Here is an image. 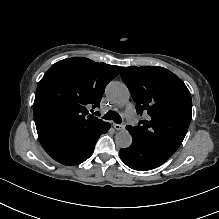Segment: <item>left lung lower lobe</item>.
Wrapping results in <instances>:
<instances>
[{"instance_id": "0a47b994", "label": "left lung lower lobe", "mask_w": 219, "mask_h": 219, "mask_svg": "<svg viewBox=\"0 0 219 219\" xmlns=\"http://www.w3.org/2000/svg\"><path fill=\"white\" fill-rule=\"evenodd\" d=\"M119 154L128 167L138 171L155 169L170 158L158 149L144 144L142 140L133 135L132 144L121 149Z\"/></svg>"}]
</instances>
